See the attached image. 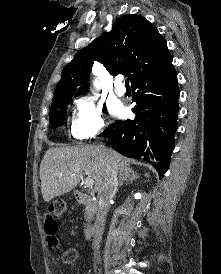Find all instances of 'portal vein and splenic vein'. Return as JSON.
I'll use <instances>...</instances> for the list:
<instances>
[{
	"label": "portal vein and splenic vein",
	"mask_w": 221,
	"mask_h": 274,
	"mask_svg": "<svg viewBox=\"0 0 221 274\" xmlns=\"http://www.w3.org/2000/svg\"><path fill=\"white\" fill-rule=\"evenodd\" d=\"M84 185H85V187H87V188H92L93 185H94L93 179H92V178H89V177L86 178L85 181H84Z\"/></svg>",
	"instance_id": "obj_1"
}]
</instances>
